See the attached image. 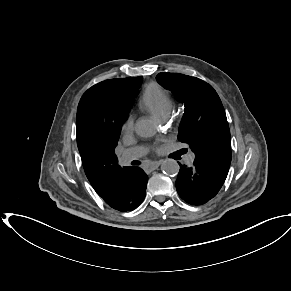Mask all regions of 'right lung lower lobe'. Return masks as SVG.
<instances>
[{
  "instance_id": "obj_1",
  "label": "right lung lower lobe",
  "mask_w": 291,
  "mask_h": 291,
  "mask_svg": "<svg viewBox=\"0 0 291 291\" xmlns=\"http://www.w3.org/2000/svg\"><path fill=\"white\" fill-rule=\"evenodd\" d=\"M121 190L106 202L111 208L127 212L136 209L144 200L148 176L139 167H125L120 175Z\"/></svg>"
}]
</instances>
